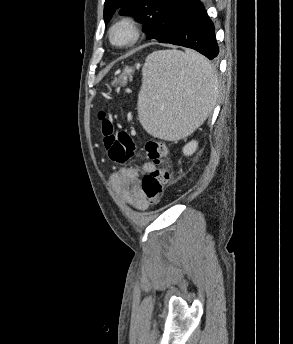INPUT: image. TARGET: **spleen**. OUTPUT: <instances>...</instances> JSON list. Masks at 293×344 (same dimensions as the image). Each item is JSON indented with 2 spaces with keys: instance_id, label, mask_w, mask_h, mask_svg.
<instances>
[{
  "instance_id": "1",
  "label": "spleen",
  "mask_w": 293,
  "mask_h": 344,
  "mask_svg": "<svg viewBox=\"0 0 293 344\" xmlns=\"http://www.w3.org/2000/svg\"><path fill=\"white\" fill-rule=\"evenodd\" d=\"M138 117L150 135L178 140L208 117L219 93L214 68L202 55L186 50L150 54L142 70Z\"/></svg>"
}]
</instances>
